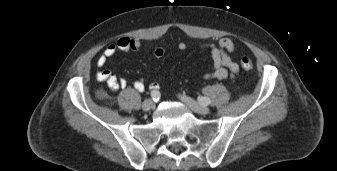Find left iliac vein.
Listing matches in <instances>:
<instances>
[{
	"label": "left iliac vein",
	"instance_id": "4c4485c4",
	"mask_svg": "<svg viewBox=\"0 0 337 171\" xmlns=\"http://www.w3.org/2000/svg\"><path fill=\"white\" fill-rule=\"evenodd\" d=\"M180 99L194 112L202 115H206L210 112V109L204 105H201L187 96H180Z\"/></svg>",
	"mask_w": 337,
	"mask_h": 171
}]
</instances>
